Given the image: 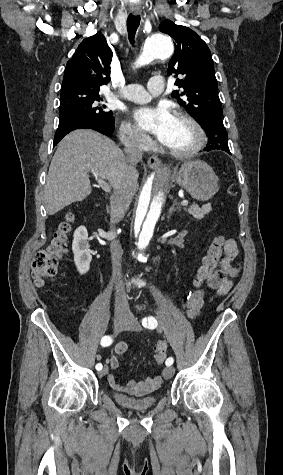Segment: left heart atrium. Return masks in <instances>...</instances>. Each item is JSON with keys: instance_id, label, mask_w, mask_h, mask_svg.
I'll return each instance as SVG.
<instances>
[{"instance_id": "1", "label": "left heart atrium", "mask_w": 283, "mask_h": 475, "mask_svg": "<svg viewBox=\"0 0 283 475\" xmlns=\"http://www.w3.org/2000/svg\"><path fill=\"white\" fill-rule=\"evenodd\" d=\"M134 119L140 129L152 133L161 141H166L171 135L169 131L174 116L165 105L138 109L134 112Z\"/></svg>"}]
</instances>
